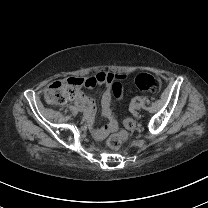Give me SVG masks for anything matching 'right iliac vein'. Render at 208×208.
<instances>
[{
  "instance_id": "obj_1",
  "label": "right iliac vein",
  "mask_w": 208,
  "mask_h": 208,
  "mask_svg": "<svg viewBox=\"0 0 208 208\" xmlns=\"http://www.w3.org/2000/svg\"><path fill=\"white\" fill-rule=\"evenodd\" d=\"M77 109H78L79 112H83L84 111V108L82 106H79Z\"/></svg>"
}]
</instances>
